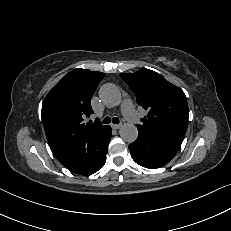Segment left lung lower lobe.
Wrapping results in <instances>:
<instances>
[{"mask_svg": "<svg viewBox=\"0 0 231 231\" xmlns=\"http://www.w3.org/2000/svg\"><path fill=\"white\" fill-rule=\"evenodd\" d=\"M179 148V144L156 139L140 132L138 138L129 145L133 160L149 169L160 168L167 164Z\"/></svg>", "mask_w": 231, "mask_h": 231, "instance_id": "0a47b994", "label": "left lung lower lobe"}]
</instances>
